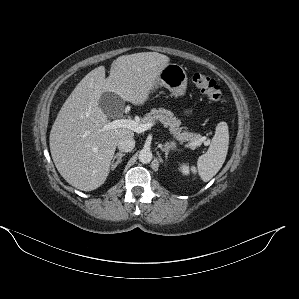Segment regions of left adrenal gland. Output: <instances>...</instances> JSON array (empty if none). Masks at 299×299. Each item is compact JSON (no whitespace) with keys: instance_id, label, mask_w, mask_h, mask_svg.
<instances>
[{"instance_id":"a2214340","label":"left adrenal gland","mask_w":299,"mask_h":299,"mask_svg":"<svg viewBox=\"0 0 299 299\" xmlns=\"http://www.w3.org/2000/svg\"><path fill=\"white\" fill-rule=\"evenodd\" d=\"M160 149H161L163 152H165V157H166V159H167V158H168L169 151H170V150H174L173 143H172V142H171V143L167 142V143H165L163 146H161Z\"/></svg>"}]
</instances>
